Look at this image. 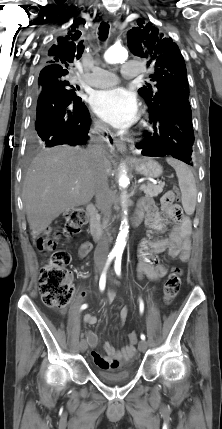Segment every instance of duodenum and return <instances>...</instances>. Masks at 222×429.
Returning a JSON list of instances; mask_svg holds the SVG:
<instances>
[{"mask_svg":"<svg viewBox=\"0 0 222 429\" xmlns=\"http://www.w3.org/2000/svg\"><path fill=\"white\" fill-rule=\"evenodd\" d=\"M86 210L88 214L89 232L92 235L93 239L98 242L102 237L103 230L100 224L96 206L94 204H88ZM141 218L142 214L140 212H137L133 222L135 226L138 225Z\"/></svg>","mask_w":222,"mask_h":429,"instance_id":"obj_1","label":"duodenum"}]
</instances>
